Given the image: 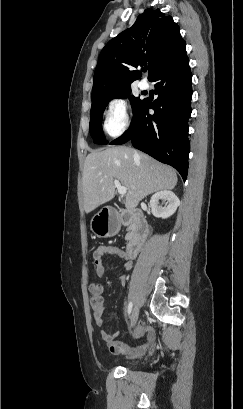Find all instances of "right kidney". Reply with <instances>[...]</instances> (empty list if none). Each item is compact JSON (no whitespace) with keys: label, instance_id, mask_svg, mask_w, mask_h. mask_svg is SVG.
Wrapping results in <instances>:
<instances>
[{"label":"right kidney","instance_id":"right-kidney-1","mask_svg":"<svg viewBox=\"0 0 243 409\" xmlns=\"http://www.w3.org/2000/svg\"><path fill=\"white\" fill-rule=\"evenodd\" d=\"M160 200L162 202L166 201V205L162 207L160 205ZM180 205L179 198L169 190H162L155 193L150 199V207L152 214L155 217L166 219L173 215L178 206Z\"/></svg>","mask_w":243,"mask_h":409}]
</instances>
